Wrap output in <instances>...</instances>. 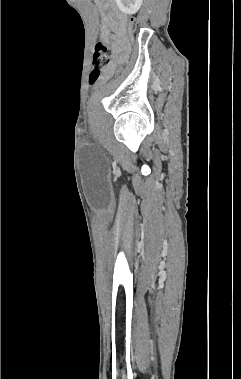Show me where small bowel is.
I'll return each mask as SVG.
<instances>
[{
    "label": "small bowel",
    "instance_id": "1",
    "mask_svg": "<svg viewBox=\"0 0 241 379\" xmlns=\"http://www.w3.org/2000/svg\"><path fill=\"white\" fill-rule=\"evenodd\" d=\"M107 0H97L99 6H102ZM117 32L123 39L122 43L115 49L116 56H120L126 48V17L121 14L114 16H103L101 25V38L106 40L111 32ZM114 69V63L109 64L105 70L106 75H110Z\"/></svg>",
    "mask_w": 241,
    "mask_h": 379
}]
</instances>
